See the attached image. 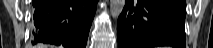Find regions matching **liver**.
<instances>
[{
	"label": "liver",
	"mask_w": 213,
	"mask_h": 48,
	"mask_svg": "<svg viewBox=\"0 0 213 48\" xmlns=\"http://www.w3.org/2000/svg\"><path fill=\"white\" fill-rule=\"evenodd\" d=\"M38 48H47L46 45H39Z\"/></svg>",
	"instance_id": "1"
}]
</instances>
